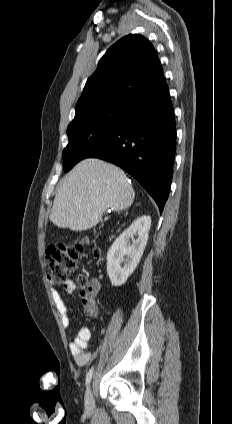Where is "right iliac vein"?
<instances>
[{
	"label": "right iliac vein",
	"mask_w": 232,
	"mask_h": 424,
	"mask_svg": "<svg viewBox=\"0 0 232 424\" xmlns=\"http://www.w3.org/2000/svg\"><path fill=\"white\" fill-rule=\"evenodd\" d=\"M85 409L87 412H91L94 409V398L90 387L87 388L85 394Z\"/></svg>",
	"instance_id": "63e3f726"
}]
</instances>
